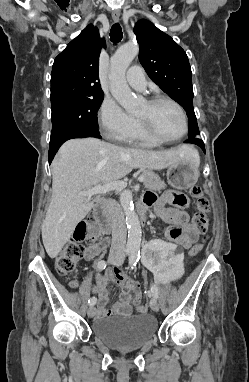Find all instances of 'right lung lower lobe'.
I'll use <instances>...</instances> for the list:
<instances>
[{
  "instance_id": "right-lung-lower-lobe-1",
  "label": "right lung lower lobe",
  "mask_w": 249,
  "mask_h": 382,
  "mask_svg": "<svg viewBox=\"0 0 249 382\" xmlns=\"http://www.w3.org/2000/svg\"><path fill=\"white\" fill-rule=\"evenodd\" d=\"M84 137H96L101 138L100 133L98 130H77L68 132L60 137H57L55 139H50V146H49V164L51 163L52 159L54 158V155L58 151L59 147L67 140L73 139V138H84Z\"/></svg>"
}]
</instances>
